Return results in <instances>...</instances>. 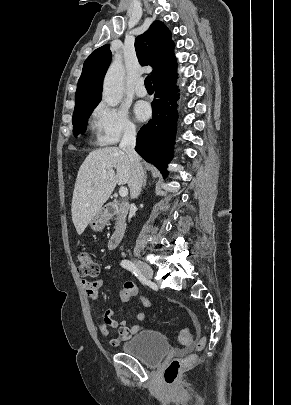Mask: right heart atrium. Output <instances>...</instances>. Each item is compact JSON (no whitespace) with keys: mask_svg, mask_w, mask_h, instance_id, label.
<instances>
[{"mask_svg":"<svg viewBox=\"0 0 291 405\" xmlns=\"http://www.w3.org/2000/svg\"><path fill=\"white\" fill-rule=\"evenodd\" d=\"M95 141L101 146L117 144L136 135L137 127L126 109L105 103L96 106L92 114Z\"/></svg>","mask_w":291,"mask_h":405,"instance_id":"right-heart-atrium-1","label":"right heart atrium"}]
</instances>
